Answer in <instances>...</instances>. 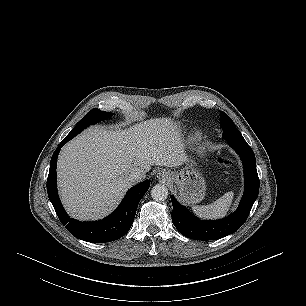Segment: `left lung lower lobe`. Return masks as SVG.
I'll return each instance as SVG.
<instances>
[{
    "mask_svg": "<svg viewBox=\"0 0 306 306\" xmlns=\"http://www.w3.org/2000/svg\"><path fill=\"white\" fill-rule=\"evenodd\" d=\"M229 145L239 154L244 167L245 189L237 210L218 221H200L171 196L172 221L185 237L194 240H217L234 233L246 221L259 193V178L255 155L245 139H229Z\"/></svg>",
    "mask_w": 306,
    "mask_h": 306,
    "instance_id": "obj_1",
    "label": "left lung lower lobe"
}]
</instances>
